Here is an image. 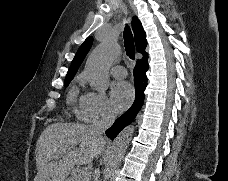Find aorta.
<instances>
[{
    "label": "aorta",
    "mask_w": 228,
    "mask_h": 181,
    "mask_svg": "<svg viewBox=\"0 0 228 181\" xmlns=\"http://www.w3.org/2000/svg\"><path fill=\"white\" fill-rule=\"evenodd\" d=\"M120 54V47L112 37H106L89 55L85 72L91 87L105 93L109 86V68ZM134 126L122 130L113 142L108 163L104 171V181H108L124 158L132 139Z\"/></svg>",
    "instance_id": "aorta-1"
}]
</instances>
